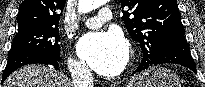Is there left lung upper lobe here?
I'll return each instance as SVG.
<instances>
[{
	"label": "left lung upper lobe",
	"mask_w": 205,
	"mask_h": 87,
	"mask_svg": "<svg viewBox=\"0 0 205 87\" xmlns=\"http://www.w3.org/2000/svg\"><path fill=\"white\" fill-rule=\"evenodd\" d=\"M127 31L140 43L143 59L156 58L166 41L185 34L176 0H120Z\"/></svg>",
	"instance_id": "left-lung-upper-lobe-1"
}]
</instances>
